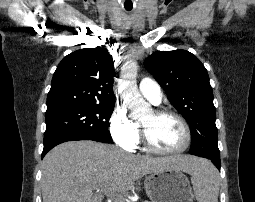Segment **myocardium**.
<instances>
[{
  "mask_svg": "<svg viewBox=\"0 0 255 202\" xmlns=\"http://www.w3.org/2000/svg\"><path fill=\"white\" fill-rule=\"evenodd\" d=\"M153 113L156 117L171 116V117L176 118L183 127L184 134H185V141H184V144L180 148H177L174 150H163V149L157 148L152 143V141L150 139L148 128L146 127V125H144L141 122V124H140L141 125V137H142V141H143L145 148L149 152H152L155 154H160V155H176V154H180V153L186 151L191 144L192 136H191L190 127H189L187 121L185 120V118L182 115H180L179 113H177L173 110H170V109H155V110H153Z\"/></svg>",
  "mask_w": 255,
  "mask_h": 202,
  "instance_id": "myocardium-1",
  "label": "myocardium"
}]
</instances>
